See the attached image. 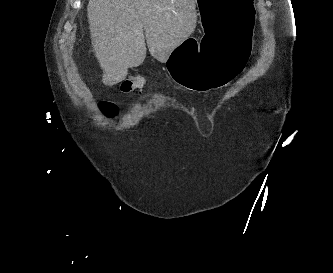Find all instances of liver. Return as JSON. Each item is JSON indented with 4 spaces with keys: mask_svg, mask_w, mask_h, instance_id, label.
<instances>
[{
    "mask_svg": "<svg viewBox=\"0 0 333 273\" xmlns=\"http://www.w3.org/2000/svg\"><path fill=\"white\" fill-rule=\"evenodd\" d=\"M197 0H89L87 16L106 86L124 80L150 54L165 63L194 31Z\"/></svg>",
    "mask_w": 333,
    "mask_h": 273,
    "instance_id": "1",
    "label": "liver"
}]
</instances>
